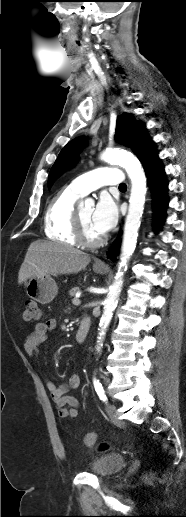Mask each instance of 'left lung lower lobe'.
<instances>
[{
	"mask_svg": "<svg viewBox=\"0 0 186 517\" xmlns=\"http://www.w3.org/2000/svg\"><path fill=\"white\" fill-rule=\"evenodd\" d=\"M139 160L142 163L146 172V176L150 181V187L152 189L154 200L155 227H158L165 218V210L168 206V183L165 179L164 168L160 164L154 145H152L139 158ZM118 248V243H115L114 249H111L110 251L114 253L118 250Z\"/></svg>",
	"mask_w": 186,
	"mask_h": 517,
	"instance_id": "obj_1",
	"label": "left lung lower lobe"
}]
</instances>
